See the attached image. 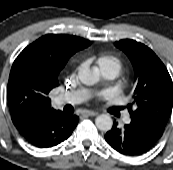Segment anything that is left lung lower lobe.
Segmentation results:
<instances>
[{"label": "left lung lower lobe", "mask_w": 173, "mask_h": 170, "mask_svg": "<svg viewBox=\"0 0 173 170\" xmlns=\"http://www.w3.org/2000/svg\"><path fill=\"white\" fill-rule=\"evenodd\" d=\"M163 132L151 125L131 119L123 128L113 127L105 135L107 143L123 155L135 156L148 152L161 138Z\"/></svg>", "instance_id": "1"}]
</instances>
